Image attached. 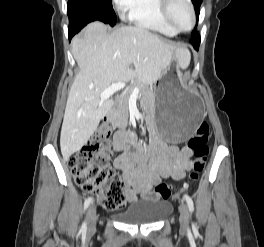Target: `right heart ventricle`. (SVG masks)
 <instances>
[{
	"label": "right heart ventricle",
	"instance_id": "e07e8e85",
	"mask_svg": "<svg viewBox=\"0 0 264 247\" xmlns=\"http://www.w3.org/2000/svg\"><path fill=\"white\" fill-rule=\"evenodd\" d=\"M160 0H134L128 17L138 27L165 35H173L176 31L166 22L161 9Z\"/></svg>",
	"mask_w": 264,
	"mask_h": 247
}]
</instances>
